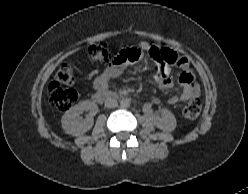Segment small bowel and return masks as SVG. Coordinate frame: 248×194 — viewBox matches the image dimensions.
I'll list each match as a JSON object with an SVG mask.
<instances>
[{
	"mask_svg": "<svg viewBox=\"0 0 248 194\" xmlns=\"http://www.w3.org/2000/svg\"><path fill=\"white\" fill-rule=\"evenodd\" d=\"M155 45L146 42H141L137 45V50H145L149 52ZM136 50V49H135ZM129 50H123L117 54L113 62L94 79V87L97 91H107L113 86L118 79L125 66ZM175 61L173 63H164L159 65V74L154 77L155 82L161 90H169L173 86V81L170 78V64H175L181 69L179 75V92L177 95L169 99V104L177 102H186L188 100L198 98L200 91L195 82V75L188 61L174 52ZM140 59V55L137 60ZM158 100L154 99L152 105L157 106Z\"/></svg>",
	"mask_w": 248,
	"mask_h": 194,
	"instance_id": "small-bowel-1",
	"label": "small bowel"
}]
</instances>
